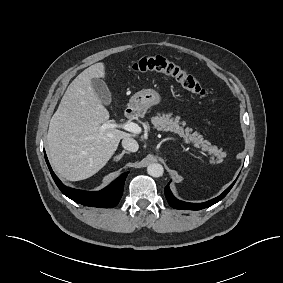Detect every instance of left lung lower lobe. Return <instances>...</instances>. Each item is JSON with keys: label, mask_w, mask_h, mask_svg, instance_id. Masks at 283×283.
I'll return each instance as SVG.
<instances>
[{"label": "left lung lower lobe", "mask_w": 283, "mask_h": 283, "mask_svg": "<svg viewBox=\"0 0 283 283\" xmlns=\"http://www.w3.org/2000/svg\"><path fill=\"white\" fill-rule=\"evenodd\" d=\"M235 182L236 180L220 196L212 200H209L207 202H204V203H188V202H183V201L176 199L171 193L169 189V185L165 187L164 192H165L166 199L171 207L175 209L200 210V209L210 207L214 205L215 203L219 202L221 199H223L227 195V193L231 190Z\"/></svg>", "instance_id": "left-lung-lower-lobe-1"}]
</instances>
